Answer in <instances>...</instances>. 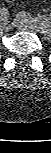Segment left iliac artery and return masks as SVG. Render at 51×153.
<instances>
[{
  "label": "left iliac artery",
  "instance_id": "44dca946",
  "mask_svg": "<svg viewBox=\"0 0 51 153\" xmlns=\"http://www.w3.org/2000/svg\"><path fill=\"white\" fill-rule=\"evenodd\" d=\"M21 15L25 18L26 21H30L33 23H40L47 28L51 26V14L46 15V16H39L37 18H32L26 12H21Z\"/></svg>",
  "mask_w": 51,
  "mask_h": 153
}]
</instances>
